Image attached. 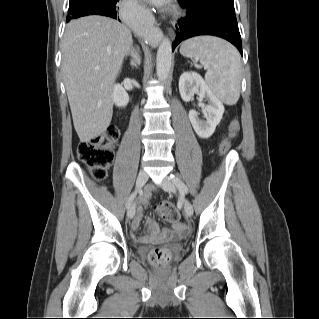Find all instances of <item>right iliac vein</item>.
I'll list each match as a JSON object with an SVG mask.
<instances>
[{"label":"right iliac vein","instance_id":"obj_1","mask_svg":"<svg viewBox=\"0 0 319 319\" xmlns=\"http://www.w3.org/2000/svg\"><path fill=\"white\" fill-rule=\"evenodd\" d=\"M147 180H148V176H147L146 172L140 171L138 173L137 181H136L137 188L139 189V188L143 187L144 184L147 182ZM134 214H135V204L132 203L128 209L127 215L129 218H133Z\"/></svg>","mask_w":319,"mask_h":319}]
</instances>
